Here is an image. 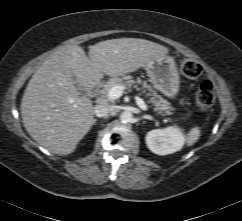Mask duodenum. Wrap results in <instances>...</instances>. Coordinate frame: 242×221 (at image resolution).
Listing matches in <instances>:
<instances>
[{"label":"duodenum","instance_id":"1","mask_svg":"<svg viewBox=\"0 0 242 221\" xmlns=\"http://www.w3.org/2000/svg\"><path fill=\"white\" fill-rule=\"evenodd\" d=\"M98 87H99V84L98 83H94L90 86L89 88V95L91 97L95 96L98 92Z\"/></svg>","mask_w":242,"mask_h":221}]
</instances>
